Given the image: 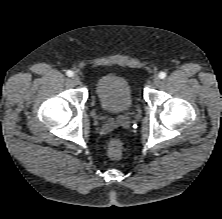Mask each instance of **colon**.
<instances>
[{
	"label": "colon",
	"mask_w": 222,
	"mask_h": 219,
	"mask_svg": "<svg viewBox=\"0 0 222 219\" xmlns=\"http://www.w3.org/2000/svg\"><path fill=\"white\" fill-rule=\"evenodd\" d=\"M107 152L111 159H120L123 154V143L118 139H112L108 144Z\"/></svg>",
	"instance_id": "obj_1"
}]
</instances>
